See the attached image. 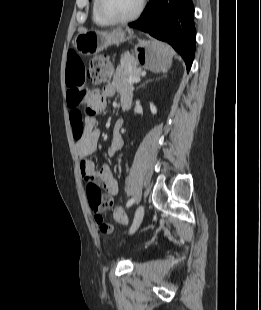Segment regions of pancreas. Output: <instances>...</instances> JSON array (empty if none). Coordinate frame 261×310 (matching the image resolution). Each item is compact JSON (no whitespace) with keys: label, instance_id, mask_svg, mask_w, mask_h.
Wrapping results in <instances>:
<instances>
[{"label":"pancreas","instance_id":"obj_1","mask_svg":"<svg viewBox=\"0 0 261 310\" xmlns=\"http://www.w3.org/2000/svg\"><path fill=\"white\" fill-rule=\"evenodd\" d=\"M120 63L123 72L121 76L117 77L122 80L125 86L132 88L133 83H129L127 79L130 77H140L142 69L137 67V62L128 54L122 55Z\"/></svg>","mask_w":261,"mask_h":310}]
</instances>
